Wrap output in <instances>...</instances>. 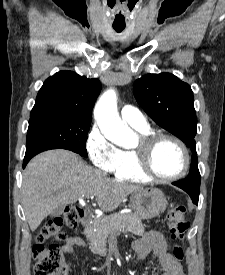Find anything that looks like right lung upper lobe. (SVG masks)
Segmentation results:
<instances>
[{
	"label": "right lung upper lobe",
	"instance_id": "obj_1",
	"mask_svg": "<svg viewBox=\"0 0 225 275\" xmlns=\"http://www.w3.org/2000/svg\"><path fill=\"white\" fill-rule=\"evenodd\" d=\"M101 91L98 79H87L72 71L49 77L39 90L30 118L72 116L90 118Z\"/></svg>",
	"mask_w": 225,
	"mask_h": 275
}]
</instances>
